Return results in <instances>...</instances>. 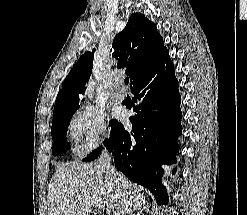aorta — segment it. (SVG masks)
<instances>
[{
  "label": "aorta",
  "mask_w": 247,
  "mask_h": 215,
  "mask_svg": "<svg viewBox=\"0 0 247 215\" xmlns=\"http://www.w3.org/2000/svg\"><path fill=\"white\" fill-rule=\"evenodd\" d=\"M93 85H94V82L90 81L86 86L85 94L88 96V98L92 97L91 93L93 91Z\"/></svg>",
  "instance_id": "762f6f07"
}]
</instances>
